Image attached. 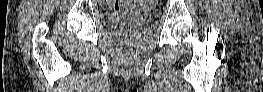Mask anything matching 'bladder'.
Returning a JSON list of instances; mask_svg holds the SVG:
<instances>
[{
    "mask_svg": "<svg viewBox=\"0 0 263 92\" xmlns=\"http://www.w3.org/2000/svg\"><path fill=\"white\" fill-rule=\"evenodd\" d=\"M108 18L112 24L117 26L127 22H137L144 25L151 21V13L141 9L116 10L110 13Z\"/></svg>",
    "mask_w": 263,
    "mask_h": 92,
    "instance_id": "bladder-1",
    "label": "bladder"
}]
</instances>
